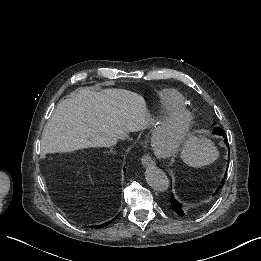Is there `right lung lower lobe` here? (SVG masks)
Here are the masks:
<instances>
[{
    "label": "right lung lower lobe",
    "instance_id": "1",
    "mask_svg": "<svg viewBox=\"0 0 261 261\" xmlns=\"http://www.w3.org/2000/svg\"><path fill=\"white\" fill-rule=\"evenodd\" d=\"M115 218H117V216H116ZM115 218H114V219H115ZM114 219H112L111 221L106 222V223H104V224H101V225H98V226H94V228H102V227H105V226H107L110 222H112Z\"/></svg>",
    "mask_w": 261,
    "mask_h": 261
}]
</instances>
